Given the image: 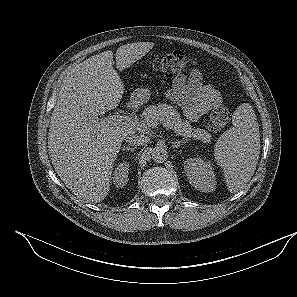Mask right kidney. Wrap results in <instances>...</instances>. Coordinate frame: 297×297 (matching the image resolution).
Returning <instances> with one entry per match:
<instances>
[{"mask_svg": "<svg viewBox=\"0 0 297 297\" xmlns=\"http://www.w3.org/2000/svg\"><path fill=\"white\" fill-rule=\"evenodd\" d=\"M128 170L129 164L127 162H122L117 165L113 173V184L117 188H123L128 182Z\"/></svg>", "mask_w": 297, "mask_h": 297, "instance_id": "1", "label": "right kidney"}]
</instances>
